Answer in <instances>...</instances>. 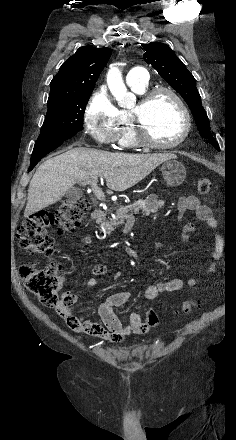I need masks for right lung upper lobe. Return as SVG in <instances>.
<instances>
[{
	"label": "right lung upper lobe",
	"mask_w": 236,
	"mask_h": 440,
	"mask_svg": "<svg viewBox=\"0 0 236 440\" xmlns=\"http://www.w3.org/2000/svg\"><path fill=\"white\" fill-rule=\"evenodd\" d=\"M110 48L83 46L66 60L50 83L48 103L65 101L91 93L110 58Z\"/></svg>",
	"instance_id": "1"
}]
</instances>
